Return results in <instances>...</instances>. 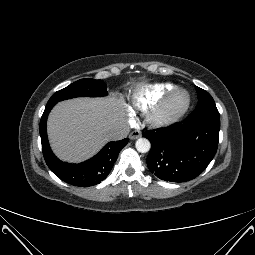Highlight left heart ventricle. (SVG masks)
Wrapping results in <instances>:
<instances>
[{
  "label": "left heart ventricle",
  "instance_id": "left-heart-ventricle-1",
  "mask_svg": "<svg viewBox=\"0 0 255 255\" xmlns=\"http://www.w3.org/2000/svg\"><path fill=\"white\" fill-rule=\"evenodd\" d=\"M185 97L183 94L177 95L173 102H172V108H178L184 103Z\"/></svg>",
  "mask_w": 255,
  "mask_h": 255
}]
</instances>
